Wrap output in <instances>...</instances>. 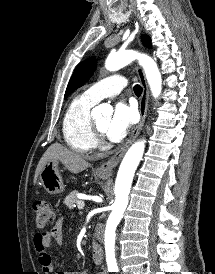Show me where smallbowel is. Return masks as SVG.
Segmentation results:
<instances>
[{"mask_svg":"<svg viewBox=\"0 0 215 274\" xmlns=\"http://www.w3.org/2000/svg\"><path fill=\"white\" fill-rule=\"evenodd\" d=\"M52 240H55V242L58 245H62L63 243L62 220H58L51 229L44 232L37 233L34 236V248L38 257V262L44 274L54 273V269L51 263V257L46 251L47 247L51 244ZM54 274H84V273L55 272ZM96 274H104V273L97 272Z\"/></svg>","mask_w":215,"mask_h":274,"instance_id":"obj_1","label":"small bowel"}]
</instances>
